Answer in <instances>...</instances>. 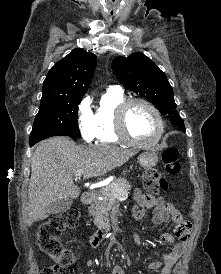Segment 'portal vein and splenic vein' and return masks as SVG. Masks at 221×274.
I'll return each instance as SVG.
<instances>
[{"label": "portal vein and splenic vein", "mask_w": 221, "mask_h": 274, "mask_svg": "<svg viewBox=\"0 0 221 274\" xmlns=\"http://www.w3.org/2000/svg\"><path fill=\"white\" fill-rule=\"evenodd\" d=\"M83 170H80V171H77L76 173H75V177H76V179L77 178H80L81 177V175L83 174ZM115 192H116V196H121V197H124L123 196V194L122 193H120V191H119V189L118 188H115Z\"/></svg>", "instance_id": "obj_1"}]
</instances>
